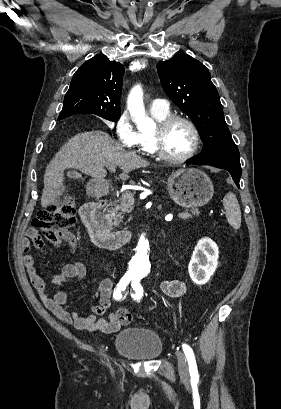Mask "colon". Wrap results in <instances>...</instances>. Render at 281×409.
Segmentation results:
<instances>
[{"label": "colon", "mask_w": 281, "mask_h": 409, "mask_svg": "<svg viewBox=\"0 0 281 409\" xmlns=\"http://www.w3.org/2000/svg\"><path fill=\"white\" fill-rule=\"evenodd\" d=\"M75 205L73 199L66 197L50 203L44 210L37 213L34 227L43 238L62 244L63 234L73 228L75 224ZM129 306H118L115 319L126 324L131 321Z\"/></svg>", "instance_id": "5ec220e1"}]
</instances>
